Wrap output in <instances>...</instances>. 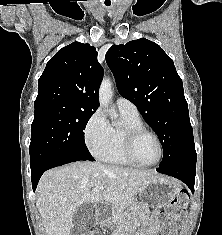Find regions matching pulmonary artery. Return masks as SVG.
I'll use <instances>...</instances> for the list:
<instances>
[{
  "mask_svg": "<svg viewBox=\"0 0 222 235\" xmlns=\"http://www.w3.org/2000/svg\"><path fill=\"white\" fill-rule=\"evenodd\" d=\"M116 105L118 109L122 112H127L131 114H138L137 107L128 99L123 97H118L116 99Z\"/></svg>",
  "mask_w": 222,
  "mask_h": 235,
  "instance_id": "obj_1",
  "label": "pulmonary artery"
}]
</instances>
